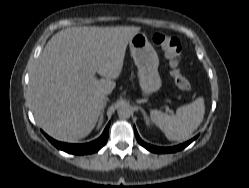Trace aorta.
<instances>
[{"mask_svg": "<svg viewBox=\"0 0 249 188\" xmlns=\"http://www.w3.org/2000/svg\"><path fill=\"white\" fill-rule=\"evenodd\" d=\"M131 109L127 105H122L118 108L117 114L121 119H128L131 116Z\"/></svg>", "mask_w": 249, "mask_h": 188, "instance_id": "762f6f07", "label": "aorta"}]
</instances>
